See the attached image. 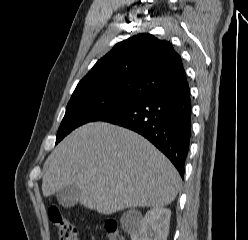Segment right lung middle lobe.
<instances>
[{"label":"right lung middle lobe","instance_id":"1","mask_svg":"<svg viewBox=\"0 0 248 240\" xmlns=\"http://www.w3.org/2000/svg\"><path fill=\"white\" fill-rule=\"evenodd\" d=\"M112 88H82L75 90L66 107L57 133L56 144L78 126L102 120L139 100Z\"/></svg>","mask_w":248,"mask_h":240}]
</instances>
